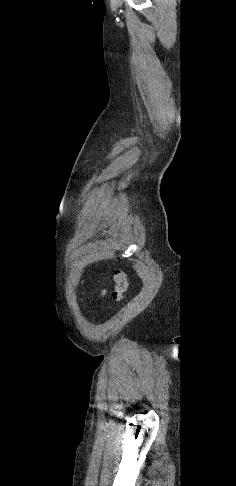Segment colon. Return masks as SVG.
Here are the masks:
<instances>
[{
    "label": "colon",
    "instance_id": "5ec220e1",
    "mask_svg": "<svg viewBox=\"0 0 236 486\" xmlns=\"http://www.w3.org/2000/svg\"><path fill=\"white\" fill-rule=\"evenodd\" d=\"M114 282L115 287L112 293V297L115 302H120L124 298V294L128 287L127 276L122 269L118 268L114 272Z\"/></svg>",
    "mask_w": 236,
    "mask_h": 486
}]
</instances>
